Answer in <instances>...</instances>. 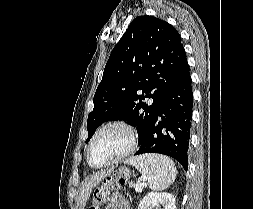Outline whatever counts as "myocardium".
Here are the masks:
<instances>
[{
  "label": "myocardium",
  "instance_id": "1",
  "mask_svg": "<svg viewBox=\"0 0 253 209\" xmlns=\"http://www.w3.org/2000/svg\"><path fill=\"white\" fill-rule=\"evenodd\" d=\"M110 127H121L127 132L128 138H129L128 146L126 147L125 150H123L119 155H117L115 158L111 159L110 161L101 165H95L91 161V149H92L93 143L96 140V138L104 130ZM137 143H138L137 131L135 127L129 121L124 120V119H114V120L108 121L105 124H103L101 127H99L98 130L95 132V134L92 136L87 148V162L92 168H95V169L108 167L117 162H120L121 160L129 156L135 150Z\"/></svg>",
  "mask_w": 253,
  "mask_h": 209
}]
</instances>
